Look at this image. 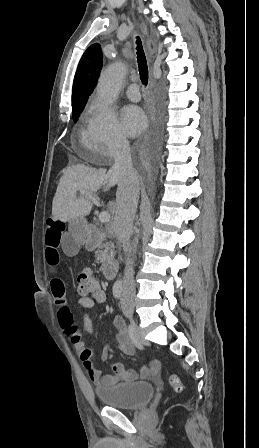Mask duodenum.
Wrapping results in <instances>:
<instances>
[{"label": "duodenum", "instance_id": "1", "mask_svg": "<svg viewBox=\"0 0 259 448\" xmlns=\"http://www.w3.org/2000/svg\"><path fill=\"white\" fill-rule=\"evenodd\" d=\"M105 237V233L99 228L92 226L87 231L86 247L90 250L95 249L100 241ZM118 271L115 261H107L103 264V274L106 279L113 280Z\"/></svg>", "mask_w": 259, "mask_h": 448}]
</instances>
